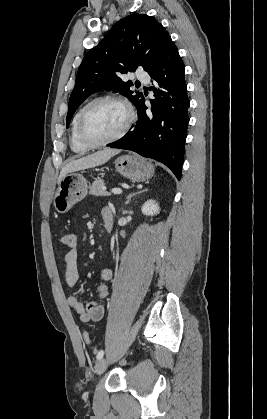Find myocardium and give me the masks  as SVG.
I'll list each match as a JSON object with an SVG mask.
<instances>
[{"label":"myocardium","instance_id":"1","mask_svg":"<svg viewBox=\"0 0 267 419\" xmlns=\"http://www.w3.org/2000/svg\"><path fill=\"white\" fill-rule=\"evenodd\" d=\"M103 101H113V102H117L119 104H121L126 112H127V119L125 124L123 125V127L120 129V131L118 133H116L114 136L102 140V141H92L90 139H88L84 132H83V122H84V118L85 115L87 113V111L95 104L99 103V102H103ZM135 120V112L134 109L132 107V105L130 104V102L125 99L124 97H121L119 95H114V94H107V95H102L99 97H96L94 99H92L90 102H88L80 111L79 116H78V120H77V126H76V134L77 137L79 139V141L89 147V148H96V147H101V146H105L107 144L113 143L119 139H121L130 129V127L132 126L133 122Z\"/></svg>","mask_w":267,"mask_h":419}]
</instances>
